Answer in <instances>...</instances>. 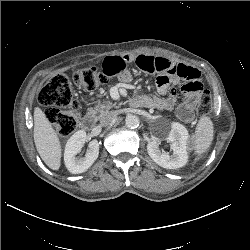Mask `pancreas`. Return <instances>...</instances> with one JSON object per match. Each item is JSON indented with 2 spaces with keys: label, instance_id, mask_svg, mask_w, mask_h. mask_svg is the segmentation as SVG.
I'll list each match as a JSON object with an SVG mask.
<instances>
[{
  "label": "pancreas",
  "instance_id": "pancreas-1",
  "mask_svg": "<svg viewBox=\"0 0 250 250\" xmlns=\"http://www.w3.org/2000/svg\"><path fill=\"white\" fill-rule=\"evenodd\" d=\"M117 107L118 105L116 103H112L111 101H105L102 103L99 102L93 109H90V112L101 117L105 112Z\"/></svg>",
  "mask_w": 250,
  "mask_h": 250
}]
</instances>
